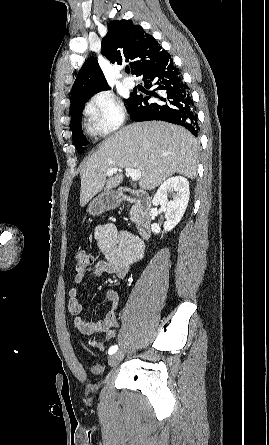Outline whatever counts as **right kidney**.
I'll use <instances>...</instances> for the list:
<instances>
[{
	"mask_svg": "<svg viewBox=\"0 0 269 445\" xmlns=\"http://www.w3.org/2000/svg\"><path fill=\"white\" fill-rule=\"evenodd\" d=\"M175 192L172 200L168 201L167 193ZM189 182L186 178L175 176L167 179L153 197V205H161L165 209L164 232L171 231L182 219L189 202ZM153 233L161 231L159 224L151 226Z\"/></svg>",
	"mask_w": 269,
	"mask_h": 445,
	"instance_id": "obj_1",
	"label": "right kidney"
}]
</instances>
